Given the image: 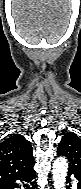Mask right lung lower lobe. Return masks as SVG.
Here are the masks:
<instances>
[{"instance_id": "1", "label": "right lung lower lobe", "mask_w": 81, "mask_h": 189, "mask_svg": "<svg viewBox=\"0 0 81 189\" xmlns=\"http://www.w3.org/2000/svg\"><path fill=\"white\" fill-rule=\"evenodd\" d=\"M34 164L27 170L15 175L11 179L0 182V189H36V172L33 169ZM17 181L21 182L18 183Z\"/></svg>"}]
</instances>
